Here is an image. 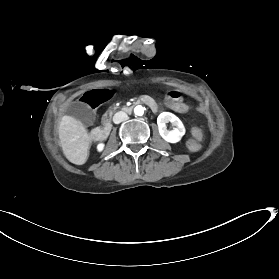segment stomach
Returning <instances> with one entry per match:
<instances>
[{
    "label": "stomach",
    "mask_w": 279,
    "mask_h": 279,
    "mask_svg": "<svg viewBox=\"0 0 279 279\" xmlns=\"http://www.w3.org/2000/svg\"><path fill=\"white\" fill-rule=\"evenodd\" d=\"M162 105H163V107L168 108V107H170L171 102H170V100L165 99V100H163ZM173 107H174V109L181 110L183 112H187L190 109L189 104L186 102H182V101L174 102Z\"/></svg>",
    "instance_id": "1"
}]
</instances>
